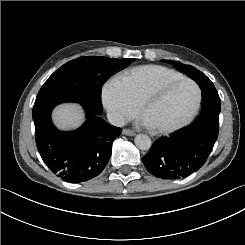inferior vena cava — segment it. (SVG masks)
<instances>
[{"mask_svg": "<svg viewBox=\"0 0 245 245\" xmlns=\"http://www.w3.org/2000/svg\"><path fill=\"white\" fill-rule=\"evenodd\" d=\"M107 118L112 125L117 127H122L126 124V119L119 112H108Z\"/></svg>", "mask_w": 245, "mask_h": 245, "instance_id": "inferior-vena-cava-1", "label": "inferior vena cava"}]
</instances>
